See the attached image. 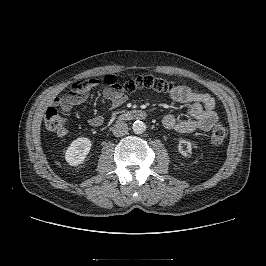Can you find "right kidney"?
<instances>
[{
	"label": "right kidney",
	"instance_id": "obj_1",
	"mask_svg": "<svg viewBox=\"0 0 266 266\" xmlns=\"http://www.w3.org/2000/svg\"><path fill=\"white\" fill-rule=\"evenodd\" d=\"M92 143L90 139L79 137L75 139L65 153V159L71 166L81 164L91 149Z\"/></svg>",
	"mask_w": 266,
	"mask_h": 266
}]
</instances>
